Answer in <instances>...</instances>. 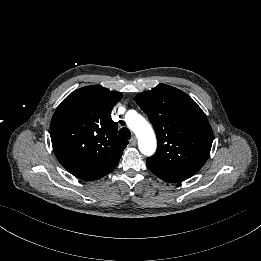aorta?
<instances>
[{
	"label": "aorta",
	"instance_id": "1",
	"mask_svg": "<svg viewBox=\"0 0 261 261\" xmlns=\"http://www.w3.org/2000/svg\"><path fill=\"white\" fill-rule=\"evenodd\" d=\"M126 124L139 140V149L145 156H151L156 150V140L150 124L135 110H129L125 116Z\"/></svg>",
	"mask_w": 261,
	"mask_h": 261
}]
</instances>
